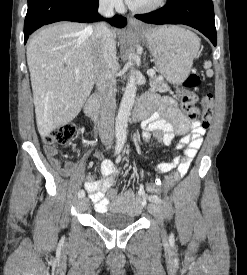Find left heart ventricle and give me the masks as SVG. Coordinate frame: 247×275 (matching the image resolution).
I'll return each instance as SVG.
<instances>
[{"label":"left heart ventricle","mask_w":247,"mask_h":275,"mask_svg":"<svg viewBox=\"0 0 247 275\" xmlns=\"http://www.w3.org/2000/svg\"><path fill=\"white\" fill-rule=\"evenodd\" d=\"M154 1H156V0H134L132 2V5L135 7H144V6H147L151 3H153Z\"/></svg>","instance_id":"left-heart-ventricle-1"}]
</instances>
